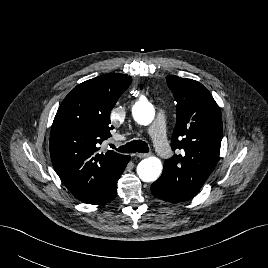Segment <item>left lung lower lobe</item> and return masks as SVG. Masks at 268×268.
<instances>
[{
  "label": "left lung lower lobe",
  "instance_id": "1",
  "mask_svg": "<svg viewBox=\"0 0 268 268\" xmlns=\"http://www.w3.org/2000/svg\"><path fill=\"white\" fill-rule=\"evenodd\" d=\"M151 192L155 197L168 202H184L194 197V195L173 188L160 180L151 185Z\"/></svg>",
  "mask_w": 268,
  "mask_h": 268
}]
</instances>
